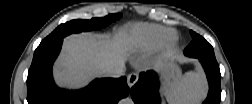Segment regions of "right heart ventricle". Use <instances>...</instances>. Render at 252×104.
<instances>
[{
    "instance_id": "e07e8e85",
    "label": "right heart ventricle",
    "mask_w": 252,
    "mask_h": 104,
    "mask_svg": "<svg viewBox=\"0 0 252 104\" xmlns=\"http://www.w3.org/2000/svg\"><path fill=\"white\" fill-rule=\"evenodd\" d=\"M177 33L174 29L158 25H140L134 30L136 43L144 48H157L175 40Z\"/></svg>"
}]
</instances>
